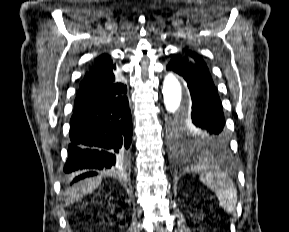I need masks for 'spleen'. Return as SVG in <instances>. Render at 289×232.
<instances>
[{
    "instance_id": "obj_1",
    "label": "spleen",
    "mask_w": 289,
    "mask_h": 232,
    "mask_svg": "<svg viewBox=\"0 0 289 232\" xmlns=\"http://www.w3.org/2000/svg\"><path fill=\"white\" fill-rule=\"evenodd\" d=\"M200 179L215 192L221 207L226 212L232 213L235 210L237 189L226 173L221 171H210L206 175L202 174Z\"/></svg>"
}]
</instances>
